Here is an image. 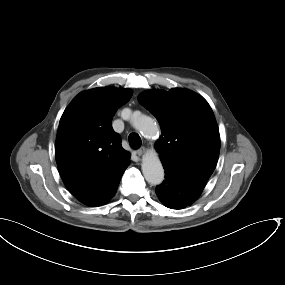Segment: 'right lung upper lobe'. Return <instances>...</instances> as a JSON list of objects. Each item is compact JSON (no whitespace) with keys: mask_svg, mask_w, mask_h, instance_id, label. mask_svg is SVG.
Instances as JSON below:
<instances>
[{"mask_svg":"<svg viewBox=\"0 0 285 285\" xmlns=\"http://www.w3.org/2000/svg\"><path fill=\"white\" fill-rule=\"evenodd\" d=\"M130 89L99 87L79 93L64 111L57 132L55 156L60 176L82 203L99 206L116 192L130 163L111 122L127 103Z\"/></svg>","mask_w":285,"mask_h":285,"instance_id":"right-lung-upper-lobe-1","label":"right lung upper lobe"}]
</instances>
